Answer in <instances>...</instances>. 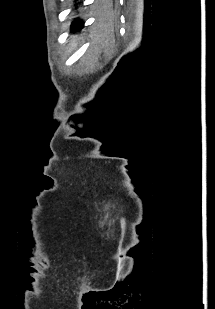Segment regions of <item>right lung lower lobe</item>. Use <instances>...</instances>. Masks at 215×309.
<instances>
[{
    "instance_id": "1",
    "label": "right lung lower lobe",
    "mask_w": 215,
    "mask_h": 309,
    "mask_svg": "<svg viewBox=\"0 0 215 309\" xmlns=\"http://www.w3.org/2000/svg\"><path fill=\"white\" fill-rule=\"evenodd\" d=\"M83 28V21L80 19H76L72 22L71 30L80 31Z\"/></svg>"
}]
</instances>
